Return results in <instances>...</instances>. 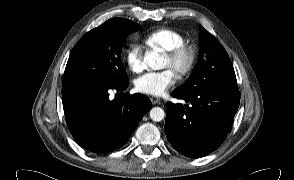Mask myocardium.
Wrapping results in <instances>:
<instances>
[{
  "label": "myocardium",
  "mask_w": 294,
  "mask_h": 180,
  "mask_svg": "<svg viewBox=\"0 0 294 180\" xmlns=\"http://www.w3.org/2000/svg\"><path fill=\"white\" fill-rule=\"evenodd\" d=\"M172 64L176 66V74L178 76L189 75L196 65V51L192 46L180 45L166 52Z\"/></svg>",
  "instance_id": "f54148a6"
}]
</instances>
